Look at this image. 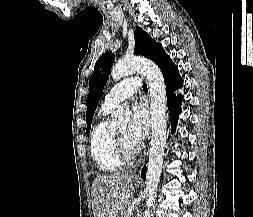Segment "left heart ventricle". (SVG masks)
Segmentation results:
<instances>
[{
	"label": "left heart ventricle",
	"mask_w": 253,
	"mask_h": 217,
	"mask_svg": "<svg viewBox=\"0 0 253 217\" xmlns=\"http://www.w3.org/2000/svg\"><path fill=\"white\" fill-rule=\"evenodd\" d=\"M116 132L121 135L130 145L136 146L129 138L128 136V127L125 125L123 127H120L116 130Z\"/></svg>",
	"instance_id": "b2bd125f"
}]
</instances>
